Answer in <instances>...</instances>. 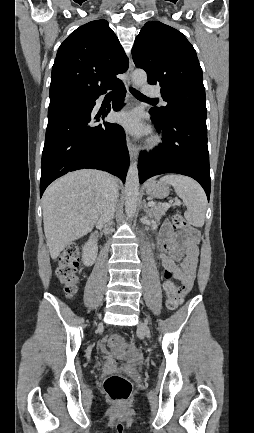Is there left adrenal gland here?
Returning <instances> with one entry per match:
<instances>
[{
  "label": "left adrenal gland",
  "instance_id": "obj_1",
  "mask_svg": "<svg viewBox=\"0 0 254 433\" xmlns=\"http://www.w3.org/2000/svg\"><path fill=\"white\" fill-rule=\"evenodd\" d=\"M142 208H143V210H144L145 213L150 214V211L148 209V206L146 204V200L145 199L143 200Z\"/></svg>",
  "mask_w": 254,
  "mask_h": 433
}]
</instances>
